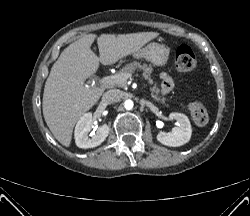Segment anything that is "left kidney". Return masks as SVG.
<instances>
[{"label": "left kidney", "instance_id": "1", "mask_svg": "<svg viewBox=\"0 0 250 216\" xmlns=\"http://www.w3.org/2000/svg\"><path fill=\"white\" fill-rule=\"evenodd\" d=\"M169 119L176 120L178 127L173 128L169 133H158L157 140L170 147H179L189 142L192 128L188 117L182 113H170Z\"/></svg>", "mask_w": 250, "mask_h": 216}]
</instances>
